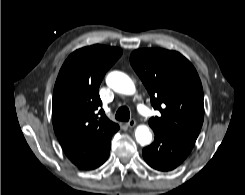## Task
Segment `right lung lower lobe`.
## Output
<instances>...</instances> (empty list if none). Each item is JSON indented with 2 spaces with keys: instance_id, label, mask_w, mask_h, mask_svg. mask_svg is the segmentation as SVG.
<instances>
[{
  "instance_id": "right-lung-lower-lobe-1",
  "label": "right lung lower lobe",
  "mask_w": 245,
  "mask_h": 195,
  "mask_svg": "<svg viewBox=\"0 0 245 195\" xmlns=\"http://www.w3.org/2000/svg\"><path fill=\"white\" fill-rule=\"evenodd\" d=\"M110 146H111V141L107 144V146H106V148L104 150V156L101 159V161H102L101 164H103L106 161V159L108 158V155H109V152H110Z\"/></svg>"
}]
</instances>
